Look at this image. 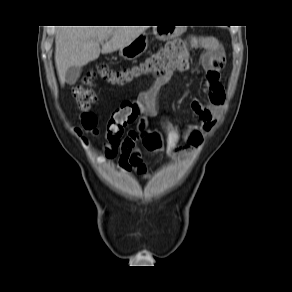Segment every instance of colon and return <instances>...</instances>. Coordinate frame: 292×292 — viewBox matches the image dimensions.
I'll return each mask as SVG.
<instances>
[{
    "mask_svg": "<svg viewBox=\"0 0 292 292\" xmlns=\"http://www.w3.org/2000/svg\"><path fill=\"white\" fill-rule=\"evenodd\" d=\"M187 56L186 44L182 41L168 43L146 59L140 66L131 69L114 70L101 65L97 70L88 72L72 89L73 97L80 110L83 111L81 131L96 133L97 118L89 112V108L97 101V95L92 88L96 77H101L112 84H123L140 74L164 76L170 69L184 63ZM159 113V89L152 87L140 95L136 102L125 101L115 109L106 125L105 155L114 157L120 146L125 128L137 119H141L142 127L145 121ZM144 149L150 156L159 154L162 142L155 132L145 130L142 133Z\"/></svg>",
    "mask_w": 292,
    "mask_h": 292,
    "instance_id": "1",
    "label": "colon"
}]
</instances>
